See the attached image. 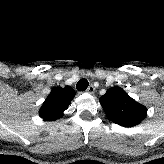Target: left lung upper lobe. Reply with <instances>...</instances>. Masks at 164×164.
<instances>
[{"mask_svg":"<svg viewBox=\"0 0 164 164\" xmlns=\"http://www.w3.org/2000/svg\"><path fill=\"white\" fill-rule=\"evenodd\" d=\"M100 103L107 118L124 127L139 124L147 115L146 107L136 102L120 87L107 90L105 95L100 97Z\"/></svg>","mask_w":164,"mask_h":164,"instance_id":"1","label":"left lung upper lobe"}]
</instances>
